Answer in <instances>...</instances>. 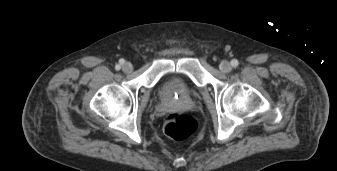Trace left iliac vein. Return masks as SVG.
<instances>
[{
    "instance_id": "4c4485c4",
    "label": "left iliac vein",
    "mask_w": 337,
    "mask_h": 171,
    "mask_svg": "<svg viewBox=\"0 0 337 171\" xmlns=\"http://www.w3.org/2000/svg\"><path fill=\"white\" fill-rule=\"evenodd\" d=\"M219 67L223 73H228L232 70V66L228 61H222Z\"/></svg>"
}]
</instances>
